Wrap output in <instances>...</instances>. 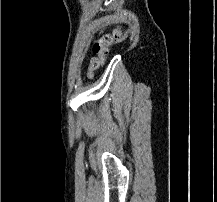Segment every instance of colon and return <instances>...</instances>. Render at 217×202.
I'll use <instances>...</instances> for the list:
<instances>
[{"mask_svg":"<svg viewBox=\"0 0 217 202\" xmlns=\"http://www.w3.org/2000/svg\"><path fill=\"white\" fill-rule=\"evenodd\" d=\"M124 32L120 25L116 26L111 33H106L98 38L93 45L94 56L89 61L87 66L86 79L94 78V70L103 67L106 57L109 52V48L112 44L120 42L124 39Z\"/></svg>","mask_w":217,"mask_h":202,"instance_id":"obj_1","label":"colon"}]
</instances>
